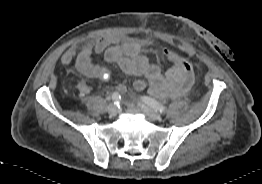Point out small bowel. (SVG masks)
<instances>
[{"label":"small bowel","instance_id":"c3829d8e","mask_svg":"<svg viewBox=\"0 0 262 184\" xmlns=\"http://www.w3.org/2000/svg\"><path fill=\"white\" fill-rule=\"evenodd\" d=\"M150 43L143 39L128 36L108 35L94 42H87L82 47H70L61 56V63L68 65L75 63L76 70L87 78H99L107 81L111 72L103 67L94 65L91 61L94 53L104 54L107 62L117 65L123 72L142 76L134 81L133 87L137 91L149 89L159 98L175 96L179 91L177 86L183 79L182 67L176 61H170L171 66L165 74L152 62L146 53ZM80 98H85L91 91V87L85 81L78 83Z\"/></svg>","mask_w":262,"mask_h":184}]
</instances>
